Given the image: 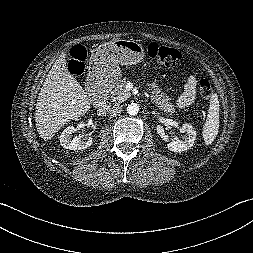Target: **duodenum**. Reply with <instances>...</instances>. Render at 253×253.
Masks as SVG:
<instances>
[{
    "label": "duodenum",
    "mask_w": 253,
    "mask_h": 253,
    "mask_svg": "<svg viewBox=\"0 0 253 253\" xmlns=\"http://www.w3.org/2000/svg\"><path fill=\"white\" fill-rule=\"evenodd\" d=\"M93 96H94L96 102L98 103V107L100 109V112L103 113L106 108V105H107V99H106L107 89H106V87H101V86L95 87L93 90Z\"/></svg>",
    "instance_id": "duodenum-1"
}]
</instances>
